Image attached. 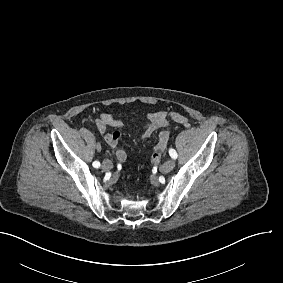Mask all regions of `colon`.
<instances>
[{
  "label": "colon",
  "mask_w": 283,
  "mask_h": 283,
  "mask_svg": "<svg viewBox=\"0 0 283 283\" xmlns=\"http://www.w3.org/2000/svg\"><path fill=\"white\" fill-rule=\"evenodd\" d=\"M168 140V135L166 131L161 130L158 133L156 145L152 150L151 161L153 164H157L160 162L164 151H165V142Z\"/></svg>",
  "instance_id": "1"
}]
</instances>
